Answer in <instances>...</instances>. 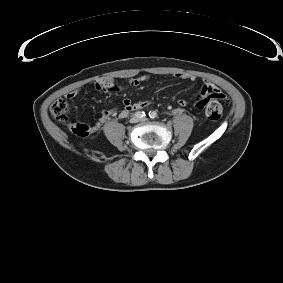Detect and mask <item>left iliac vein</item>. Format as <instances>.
Returning <instances> with one entry per match:
<instances>
[{
    "instance_id": "4c4485c4",
    "label": "left iliac vein",
    "mask_w": 283,
    "mask_h": 283,
    "mask_svg": "<svg viewBox=\"0 0 283 283\" xmlns=\"http://www.w3.org/2000/svg\"><path fill=\"white\" fill-rule=\"evenodd\" d=\"M140 121L145 122L147 121V118H142Z\"/></svg>"
}]
</instances>
